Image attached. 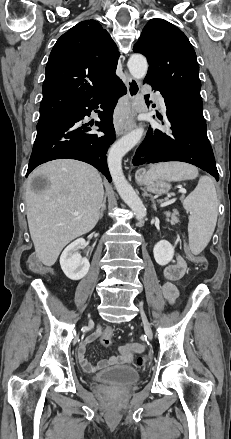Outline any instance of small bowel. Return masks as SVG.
Segmentation results:
<instances>
[{"mask_svg":"<svg viewBox=\"0 0 231 439\" xmlns=\"http://www.w3.org/2000/svg\"><path fill=\"white\" fill-rule=\"evenodd\" d=\"M186 270V262L184 258L180 255H176L175 261L167 265L163 269V276L165 278V282L162 285V292L166 300L173 304L178 297V291L173 284V281L178 280L183 276ZM107 332L112 333V329L110 327H106L104 329H99L93 334L89 335L84 342H82L78 347V361L81 367L87 372H95L99 369L106 368L108 366L119 365V364H128L131 362L133 358V354L136 352H141L143 350V346L137 343H124L120 345L117 349L116 355L110 357L109 359H104L99 361L97 365H92L85 356L86 346L87 344L96 340L99 336H103Z\"/></svg>","mask_w":231,"mask_h":439,"instance_id":"small-bowel-1","label":"small bowel"}]
</instances>
